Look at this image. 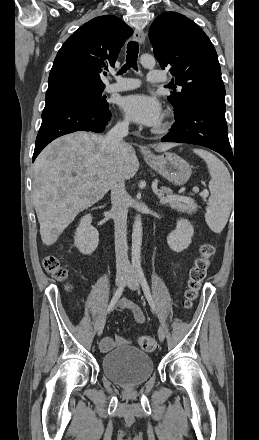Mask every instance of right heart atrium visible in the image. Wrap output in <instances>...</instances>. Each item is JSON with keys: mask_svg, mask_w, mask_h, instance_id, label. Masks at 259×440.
I'll return each mask as SVG.
<instances>
[{"mask_svg": "<svg viewBox=\"0 0 259 440\" xmlns=\"http://www.w3.org/2000/svg\"><path fill=\"white\" fill-rule=\"evenodd\" d=\"M127 124V120L126 119H122L121 121H120V125H126Z\"/></svg>", "mask_w": 259, "mask_h": 440, "instance_id": "right-heart-atrium-1", "label": "right heart atrium"}]
</instances>
